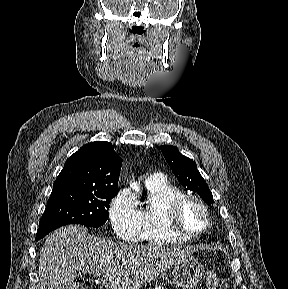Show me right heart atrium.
Listing matches in <instances>:
<instances>
[{"label":"right heart atrium","instance_id":"right-heart-atrium-1","mask_svg":"<svg viewBox=\"0 0 288 289\" xmlns=\"http://www.w3.org/2000/svg\"><path fill=\"white\" fill-rule=\"evenodd\" d=\"M109 219L114 233L119 239L137 241L142 231L140 209L127 190L119 191L111 200Z\"/></svg>","mask_w":288,"mask_h":289}]
</instances>
